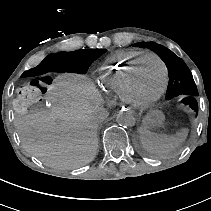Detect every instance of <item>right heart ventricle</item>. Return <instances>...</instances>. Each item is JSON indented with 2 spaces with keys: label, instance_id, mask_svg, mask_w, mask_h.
<instances>
[{
  "label": "right heart ventricle",
  "instance_id": "right-heart-ventricle-1",
  "mask_svg": "<svg viewBox=\"0 0 211 211\" xmlns=\"http://www.w3.org/2000/svg\"><path fill=\"white\" fill-rule=\"evenodd\" d=\"M144 55L147 53H140L138 50H125L101 62L99 77L103 89L109 97L113 100L122 99L126 79L131 69Z\"/></svg>",
  "mask_w": 211,
  "mask_h": 211
}]
</instances>
